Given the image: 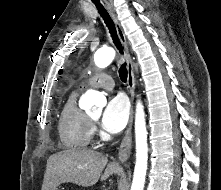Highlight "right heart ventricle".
<instances>
[{
  "mask_svg": "<svg viewBox=\"0 0 221 190\" xmlns=\"http://www.w3.org/2000/svg\"><path fill=\"white\" fill-rule=\"evenodd\" d=\"M76 97V91L69 94L59 118L60 141L67 149L86 148L92 138V123L86 113L77 106Z\"/></svg>",
  "mask_w": 221,
  "mask_h": 190,
  "instance_id": "e07e8e85",
  "label": "right heart ventricle"
}]
</instances>
